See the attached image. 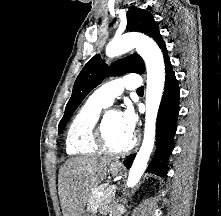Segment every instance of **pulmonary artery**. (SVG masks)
I'll return each instance as SVG.
<instances>
[{"label": "pulmonary artery", "mask_w": 221, "mask_h": 216, "mask_svg": "<svg viewBox=\"0 0 221 216\" xmlns=\"http://www.w3.org/2000/svg\"><path fill=\"white\" fill-rule=\"evenodd\" d=\"M140 85L141 79L139 76L128 74L103 84L94 90L91 98L104 103L105 105H110L117 96L123 93L125 89L134 90L139 88Z\"/></svg>", "instance_id": "1"}]
</instances>
